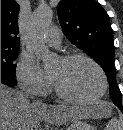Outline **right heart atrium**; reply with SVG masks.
Segmentation results:
<instances>
[{
    "instance_id": "right-heart-atrium-1",
    "label": "right heart atrium",
    "mask_w": 123,
    "mask_h": 130,
    "mask_svg": "<svg viewBox=\"0 0 123 130\" xmlns=\"http://www.w3.org/2000/svg\"><path fill=\"white\" fill-rule=\"evenodd\" d=\"M16 77L20 87L31 95H45L50 86L48 76L29 54L20 56L16 68Z\"/></svg>"
}]
</instances>
